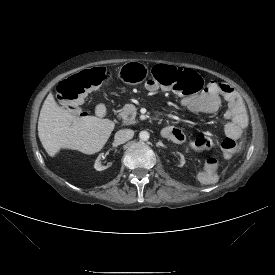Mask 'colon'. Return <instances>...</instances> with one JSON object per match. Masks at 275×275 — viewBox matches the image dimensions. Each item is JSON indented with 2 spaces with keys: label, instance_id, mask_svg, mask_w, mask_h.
Instances as JSON below:
<instances>
[{
  "label": "colon",
  "instance_id": "1",
  "mask_svg": "<svg viewBox=\"0 0 275 275\" xmlns=\"http://www.w3.org/2000/svg\"><path fill=\"white\" fill-rule=\"evenodd\" d=\"M108 77L109 72L105 67L73 74L59 84L58 95L61 100L73 104V110L78 113L80 100L90 91L106 83ZM149 83L183 95L198 93L203 88V81L195 71L167 65L153 67ZM243 143L244 138H225L221 143L223 155L227 158L234 156Z\"/></svg>",
  "mask_w": 275,
  "mask_h": 275
}]
</instances>
